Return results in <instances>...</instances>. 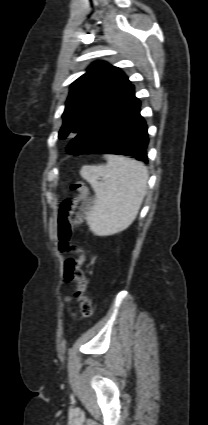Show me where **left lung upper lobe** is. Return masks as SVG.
I'll list each match as a JSON object with an SVG mask.
<instances>
[{"instance_id": "1", "label": "left lung upper lobe", "mask_w": 208, "mask_h": 425, "mask_svg": "<svg viewBox=\"0 0 208 425\" xmlns=\"http://www.w3.org/2000/svg\"><path fill=\"white\" fill-rule=\"evenodd\" d=\"M129 85L130 81L119 68L106 62L91 65L71 84L58 137L64 139L69 134L79 133ZM67 150L70 154L80 155V146L75 138Z\"/></svg>"}]
</instances>
